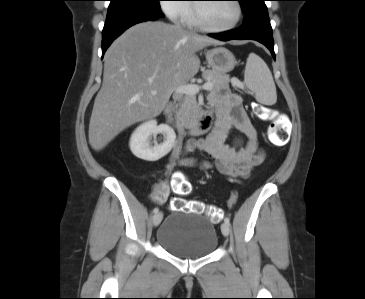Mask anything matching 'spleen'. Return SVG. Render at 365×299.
Here are the masks:
<instances>
[{
	"label": "spleen",
	"mask_w": 365,
	"mask_h": 299,
	"mask_svg": "<svg viewBox=\"0 0 365 299\" xmlns=\"http://www.w3.org/2000/svg\"><path fill=\"white\" fill-rule=\"evenodd\" d=\"M244 83L255 93V98L259 103L264 105L276 103V86L272 73L264 60L255 53H250L247 58Z\"/></svg>",
	"instance_id": "3e777b00"
}]
</instances>
